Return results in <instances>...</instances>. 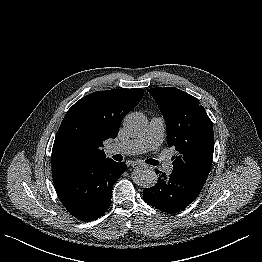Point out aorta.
Returning a JSON list of instances; mask_svg holds the SVG:
<instances>
[{
  "instance_id": "1",
  "label": "aorta",
  "mask_w": 262,
  "mask_h": 262,
  "mask_svg": "<svg viewBox=\"0 0 262 262\" xmlns=\"http://www.w3.org/2000/svg\"><path fill=\"white\" fill-rule=\"evenodd\" d=\"M147 126L146 117L139 112L129 113L123 119V127L131 137H139L145 133ZM132 179L142 188L153 187L158 180V175L153 169L138 168L134 170Z\"/></svg>"
}]
</instances>
